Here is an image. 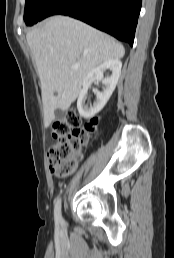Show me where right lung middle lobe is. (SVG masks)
Returning <instances> with one entry per match:
<instances>
[{"label":"right lung middle lobe","instance_id":"1","mask_svg":"<svg viewBox=\"0 0 174 258\" xmlns=\"http://www.w3.org/2000/svg\"><path fill=\"white\" fill-rule=\"evenodd\" d=\"M53 0H26L24 10V21L31 26L43 19V14Z\"/></svg>","mask_w":174,"mask_h":258}]
</instances>
